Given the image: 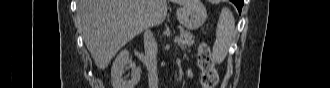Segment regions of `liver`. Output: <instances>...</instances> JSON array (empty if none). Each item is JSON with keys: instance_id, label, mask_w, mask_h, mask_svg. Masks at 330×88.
I'll list each match as a JSON object with an SVG mask.
<instances>
[{"instance_id": "obj_1", "label": "liver", "mask_w": 330, "mask_h": 88, "mask_svg": "<svg viewBox=\"0 0 330 88\" xmlns=\"http://www.w3.org/2000/svg\"><path fill=\"white\" fill-rule=\"evenodd\" d=\"M187 5L190 0H171ZM167 0H79L77 16L86 47L99 69H105L116 53L146 27L161 24Z\"/></svg>"}]
</instances>
